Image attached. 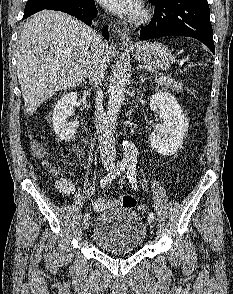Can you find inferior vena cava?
Listing matches in <instances>:
<instances>
[{"label":"inferior vena cava","mask_w":233,"mask_h":294,"mask_svg":"<svg viewBox=\"0 0 233 294\" xmlns=\"http://www.w3.org/2000/svg\"><path fill=\"white\" fill-rule=\"evenodd\" d=\"M106 43L102 37H97L96 50L90 57L88 64L89 81L96 88V106H95V122L96 132L100 143V154L103 165H113L116 159L115 141L108 127L106 114L104 112L102 100L103 92L100 88L106 71V57L104 55Z\"/></svg>","instance_id":"602c4592"}]
</instances>
